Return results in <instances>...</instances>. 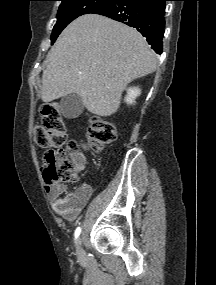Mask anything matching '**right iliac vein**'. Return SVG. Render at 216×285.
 <instances>
[{
	"label": "right iliac vein",
	"mask_w": 216,
	"mask_h": 285,
	"mask_svg": "<svg viewBox=\"0 0 216 285\" xmlns=\"http://www.w3.org/2000/svg\"><path fill=\"white\" fill-rule=\"evenodd\" d=\"M77 254L80 257L83 255L82 239L81 238H78V240H77Z\"/></svg>",
	"instance_id": "obj_1"
}]
</instances>
